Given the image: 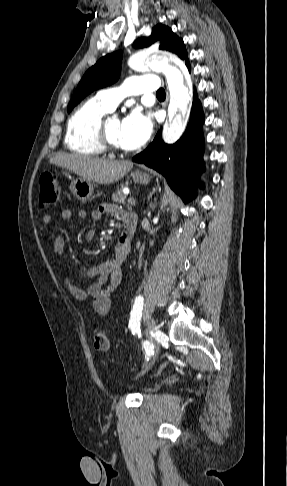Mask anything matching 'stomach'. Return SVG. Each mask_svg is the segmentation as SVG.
<instances>
[{"label":"stomach","mask_w":287,"mask_h":486,"mask_svg":"<svg viewBox=\"0 0 287 486\" xmlns=\"http://www.w3.org/2000/svg\"><path fill=\"white\" fill-rule=\"evenodd\" d=\"M131 177L136 183L147 185L150 177L147 173L136 170L131 173ZM70 190L72 194L82 202L88 201L94 192V183L91 180L77 178L71 182Z\"/></svg>","instance_id":"obj_1"}]
</instances>
